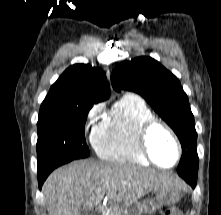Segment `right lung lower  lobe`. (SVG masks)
I'll list each match as a JSON object with an SVG mask.
<instances>
[{
  "label": "right lung lower lobe",
  "mask_w": 221,
  "mask_h": 215,
  "mask_svg": "<svg viewBox=\"0 0 221 215\" xmlns=\"http://www.w3.org/2000/svg\"><path fill=\"white\" fill-rule=\"evenodd\" d=\"M60 166V165H59ZM59 166H54L51 168H47V169H43V170H38V184H39V188H42V185L44 183V181L46 180V178L48 177V175L57 167Z\"/></svg>",
  "instance_id": "98d812e1"
}]
</instances>
